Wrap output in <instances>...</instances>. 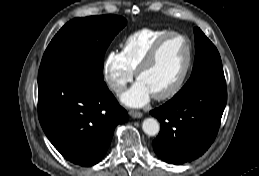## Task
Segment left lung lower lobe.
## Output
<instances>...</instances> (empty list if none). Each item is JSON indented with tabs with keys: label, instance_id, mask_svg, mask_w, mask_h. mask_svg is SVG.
I'll list each match as a JSON object with an SVG mask.
<instances>
[{
	"label": "left lung lower lobe",
	"instance_id": "0a47b994",
	"mask_svg": "<svg viewBox=\"0 0 259 176\" xmlns=\"http://www.w3.org/2000/svg\"><path fill=\"white\" fill-rule=\"evenodd\" d=\"M226 102V87L203 85L152 110L161 125L153 141L156 154L177 165L201 156L217 135Z\"/></svg>",
	"mask_w": 259,
	"mask_h": 176
}]
</instances>
